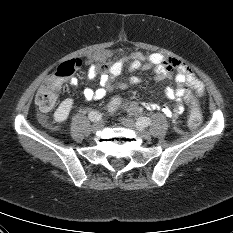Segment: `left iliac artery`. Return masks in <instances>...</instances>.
Returning a JSON list of instances; mask_svg holds the SVG:
<instances>
[{
    "label": "left iliac artery",
    "mask_w": 233,
    "mask_h": 233,
    "mask_svg": "<svg viewBox=\"0 0 233 233\" xmlns=\"http://www.w3.org/2000/svg\"><path fill=\"white\" fill-rule=\"evenodd\" d=\"M137 124L142 127H147L151 124V120L147 117H142V118H139Z\"/></svg>",
    "instance_id": "44dca946"
}]
</instances>
